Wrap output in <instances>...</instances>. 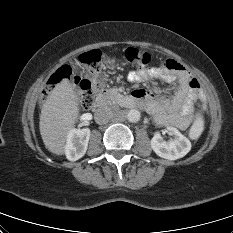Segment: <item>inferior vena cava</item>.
<instances>
[{
    "label": "inferior vena cava",
    "mask_w": 233,
    "mask_h": 233,
    "mask_svg": "<svg viewBox=\"0 0 233 233\" xmlns=\"http://www.w3.org/2000/svg\"><path fill=\"white\" fill-rule=\"evenodd\" d=\"M113 116L112 109L107 105L97 108L94 114L96 123L100 125L108 123Z\"/></svg>",
    "instance_id": "obj_1"
}]
</instances>
